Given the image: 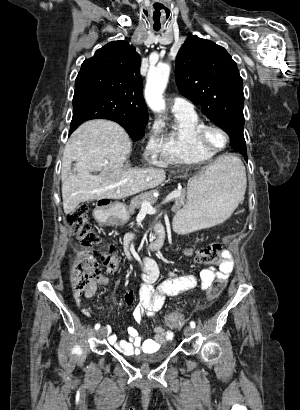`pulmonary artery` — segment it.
<instances>
[{"instance_id":"pulmonary-artery-1","label":"pulmonary artery","mask_w":300,"mask_h":410,"mask_svg":"<svg viewBox=\"0 0 300 410\" xmlns=\"http://www.w3.org/2000/svg\"><path fill=\"white\" fill-rule=\"evenodd\" d=\"M173 112H191L194 111V106L188 100L181 97H174L172 100Z\"/></svg>"}]
</instances>
